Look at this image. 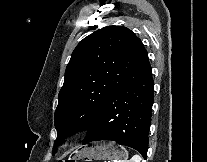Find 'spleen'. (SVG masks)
I'll use <instances>...</instances> for the list:
<instances>
[{
  "label": "spleen",
  "instance_id": "spleen-1",
  "mask_svg": "<svg viewBox=\"0 0 207 162\" xmlns=\"http://www.w3.org/2000/svg\"><path fill=\"white\" fill-rule=\"evenodd\" d=\"M141 157L139 155H134L130 160H124L123 162H140Z\"/></svg>",
  "mask_w": 207,
  "mask_h": 162
}]
</instances>
